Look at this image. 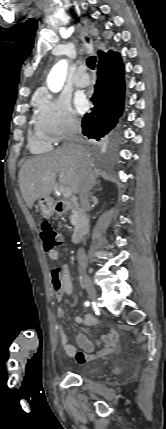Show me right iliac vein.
Masks as SVG:
<instances>
[{"instance_id": "63e3f726", "label": "right iliac vein", "mask_w": 166, "mask_h": 429, "mask_svg": "<svg viewBox=\"0 0 166 429\" xmlns=\"http://www.w3.org/2000/svg\"><path fill=\"white\" fill-rule=\"evenodd\" d=\"M82 283L89 295V298L93 301L96 300L97 294L94 285L92 284L91 279L89 276L83 271L82 272Z\"/></svg>"}]
</instances>
